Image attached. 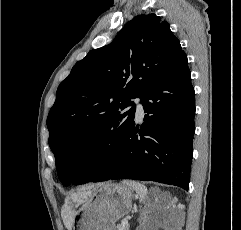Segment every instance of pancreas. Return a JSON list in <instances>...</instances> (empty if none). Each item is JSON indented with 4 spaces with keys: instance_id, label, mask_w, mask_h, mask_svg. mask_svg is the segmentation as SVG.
Masks as SVG:
<instances>
[{
    "instance_id": "pancreas-1",
    "label": "pancreas",
    "mask_w": 241,
    "mask_h": 230,
    "mask_svg": "<svg viewBox=\"0 0 241 230\" xmlns=\"http://www.w3.org/2000/svg\"><path fill=\"white\" fill-rule=\"evenodd\" d=\"M118 230H129V225L120 226Z\"/></svg>"
}]
</instances>
